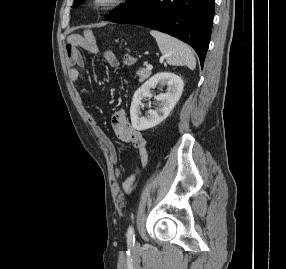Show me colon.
<instances>
[{"mask_svg": "<svg viewBox=\"0 0 286 269\" xmlns=\"http://www.w3.org/2000/svg\"><path fill=\"white\" fill-rule=\"evenodd\" d=\"M86 42H90L89 39L85 40ZM129 54H124L123 58L125 59V61H122V66H135V62H138V57H134L133 54L137 53L136 49H129L128 50Z\"/></svg>", "mask_w": 286, "mask_h": 269, "instance_id": "5ec220e1", "label": "colon"}]
</instances>
